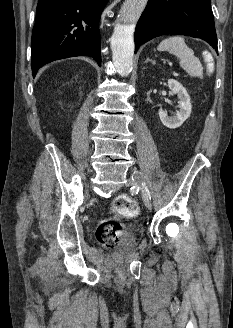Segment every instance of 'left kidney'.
Returning a JSON list of instances; mask_svg holds the SVG:
<instances>
[{
  "label": "left kidney",
  "instance_id": "obj_1",
  "mask_svg": "<svg viewBox=\"0 0 233 328\" xmlns=\"http://www.w3.org/2000/svg\"><path fill=\"white\" fill-rule=\"evenodd\" d=\"M168 86L178 96L179 110L171 117L168 116L167 112L162 110H159L158 114L163 125L167 128L175 129L180 127L190 117L192 105L190 97L181 83L177 80L169 79Z\"/></svg>",
  "mask_w": 233,
  "mask_h": 328
}]
</instances>
